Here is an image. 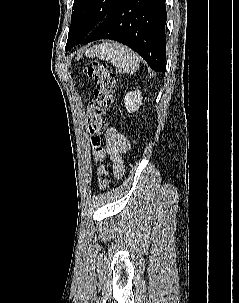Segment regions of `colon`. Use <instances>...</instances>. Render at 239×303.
<instances>
[{
	"label": "colon",
	"mask_w": 239,
	"mask_h": 303,
	"mask_svg": "<svg viewBox=\"0 0 239 303\" xmlns=\"http://www.w3.org/2000/svg\"><path fill=\"white\" fill-rule=\"evenodd\" d=\"M84 74L92 78L95 85L93 98L88 104L87 130L93 156L97 162V184L99 188L104 189L107 187L108 169L101 163L106 154L101 144V136L106 127L103 117L114 101L117 75L109 70L107 65L96 61L85 67Z\"/></svg>",
	"instance_id": "colon-1"
}]
</instances>
